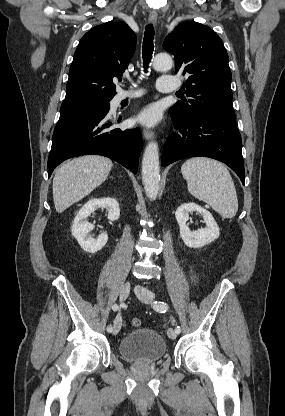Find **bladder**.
Masks as SVG:
<instances>
[{"label": "bladder", "instance_id": "31cf9c89", "mask_svg": "<svg viewBox=\"0 0 285 416\" xmlns=\"http://www.w3.org/2000/svg\"><path fill=\"white\" fill-rule=\"evenodd\" d=\"M121 360L130 363H157L166 357L167 345L153 328L132 329L118 342Z\"/></svg>", "mask_w": 285, "mask_h": 416}]
</instances>
